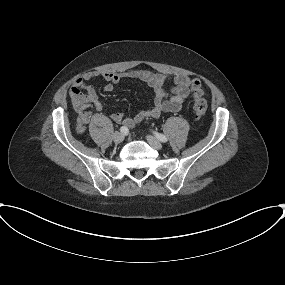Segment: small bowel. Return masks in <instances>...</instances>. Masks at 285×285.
I'll list each match as a JSON object with an SVG mask.
<instances>
[{
    "label": "small bowel",
    "mask_w": 285,
    "mask_h": 285,
    "mask_svg": "<svg viewBox=\"0 0 285 285\" xmlns=\"http://www.w3.org/2000/svg\"><path fill=\"white\" fill-rule=\"evenodd\" d=\"M94 79H103L107 82L104 90L111 92L114 86L125 79H139L145 82L154 94L152 107L136 113L133 117H126L123 112L111 114V119L126 128H132L146 118H157L163 112H176L183 106L184 101L196 90L200 89L201 82L198 78L186 75L170 77L162 73L149 70H129L124 72L93 71L76 79L69 91L72 105L78 113V122L82 125L89 122L92 110L101 112L104 105L100 101L95 89L87 82ZM171 83L170 89L167 84Z\"/></svg>",
    "instance_id": "c3829d8e"
}]
</instances>
